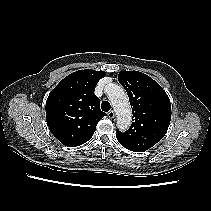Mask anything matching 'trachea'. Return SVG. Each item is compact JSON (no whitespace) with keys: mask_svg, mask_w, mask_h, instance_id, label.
Masks as SVG:
<instances>
[{"mask_svg":"<svg viewBox=\"0 0 211 211\" xmlns=\"http://www.w3.org/2000/svg\"><path fill=\"white\" fill-rule=\"evenodd\" d=\"M101 108L103 111L108 112L111 108V105L108 101H103L101 104Z\"/></svg>","mask_w":211,"mask_h":211,"instance_id":"1","label":"trachea"}]
</instances>
